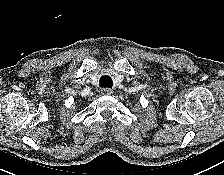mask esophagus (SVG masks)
<instances>
[{
    "instance_id": "1",
    "label": "esophagus",
    "mask_w": 224,
    "mask_h": 175,
    "mask_svg": "<svg viewBox=\"0 0 224 175\" xmlns=\"http://www.w3.org/2000/svg\"><path fill=\"white\" fill-rule=\"evenodd\" d=\"M101 93H102L103 95H111V94L113 93V90L110 89V88H103V89L101 90Z\"/></svg>"
}]
</instances>
